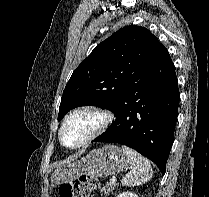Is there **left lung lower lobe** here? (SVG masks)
I'll return each instance as SVG.
<instances>
[{
  "label": "left lung lower lobe",
  "instance_id": "obj_1",
  "mask_svg": "<svg viewBox=\"0 0 209 197\" xmlns=\"http://www.w3.org/2000/svg\"><path fill=\"white\" fill-rule=\"evenodd\" d=\"M179 98L174 64L164 47L113 111L115 122L93 142L129 146L153 161L164 174L174 140Z\"/></svg>",
  "mask_w": 209,
  "mask_h": 197
}]
</instances>
